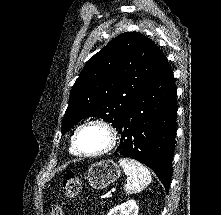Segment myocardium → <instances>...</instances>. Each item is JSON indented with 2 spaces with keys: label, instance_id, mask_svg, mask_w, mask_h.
Here are the masks:
<instances>
[{
  "label": "myocardium",
  "instance_id": "f54148a6",
  "mask_svg": "<svg viewBox=\"0 0 221 215\" xmlns=\"http://www.w3.org/2000/svg\"><path fill=\"white\" fill-rule=\"evenodd\" d=\"M91 125H97L103 128L107 134L108 142L103 149L97 152L87 153L79 149L77 139L81 130ZM117 141H118V132L115 126L107 120L95 118V119H90L77 127L72 137V146L77 155L84 157H98L110 152L116 146Z\"/></svg>",
  "mask_w": 221,
  "mask_h": 215
}]
</instances>
